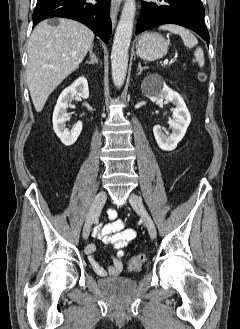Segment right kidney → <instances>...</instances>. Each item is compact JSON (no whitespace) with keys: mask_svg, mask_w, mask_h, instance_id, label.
Wrapping results in <instances>:
<instances>
[{"mask_svg":"<svg viewBox=\"0 0 240 329\" xmlns=\"http://www.w3.org/2000/svg\"><path fill=\"white\" fill-rule=\"evenodd\" d=\"M75 96L87 99L89 97L88 82L85 77H79L69 87L60 94L53 112V129L65 146L74 144L82 131V122L78 121L73 129L69 131L66 128V121L69 119L67 109L69 102Z\"/></svg>","mask_w":240,"mask_h":329,"instance_id":"ca27d5eb","label":"right kidney"}]
</instances>
